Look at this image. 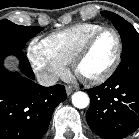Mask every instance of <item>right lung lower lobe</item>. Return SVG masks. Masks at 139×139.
Listing matches in <instances>:
<instances>
[{
  "instance_id": "right-lung-lower-lobe-1",
  "label": "right lung lower lobe",
  "mask_w": 139,
  "mask_h": 139,
  "mask_svg": "<svg viewBox=\"0 0 139 139\" xmlns=\"http://www.w3.org/2000/svg\"><path fill=\"white\" fill-rule=\"evenodd\" d=\"M14 55L20 61V73L9 72L4 59ZM23 50L0 46V139H40L48 129L56 106L66 99L63 85L43 87Z\"/></svg>"
}]
</instances>
